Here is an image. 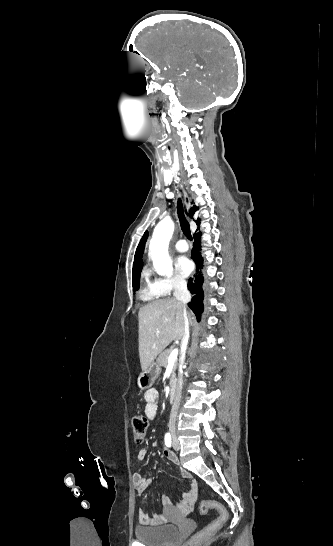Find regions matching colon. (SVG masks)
<instances>
[{
	"label": "colon",
	"mask_w": 333,
	"mask_h": 546,
	"mask_svg": "<svg viewBox=\"0 0 333 546\" xmlns=\"http://www.w3.org/2000/svg\"><path fill=\"white\" fill-rule=\"evenodd\" d=\"M148 419L145 415L137 414L132 419V434L136 442H142L146 436ZM200 513L205 515L209 510H215L218 517L198 532L192 539L182 546H191L198 538L206 537L220 529L228 520V511L224 505L214 500H203L199 506Z\"/></svg>",
	"instance_id": "obj_1"
}]
</instances>
